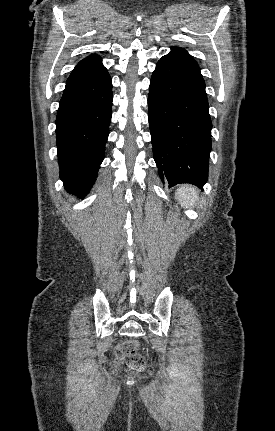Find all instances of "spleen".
<instances>
[{"mask_svg":"<svg viewBox=\"0 0 275 431\" xmlns=\"http://www.w3.org/2000/svg\"><path fill=\"white\" fill-rule=\"evenodd\" d=\"M175 196L181 206L193 208L198 201V190L192 185H182Z\"/></svg>","mask_w":275,"mask_h":431,"instance_id":"3e777b00","label":"spleen"}]
</instances>
